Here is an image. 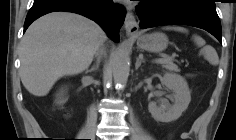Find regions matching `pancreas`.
<instances>
[{"mask_svg": "<svg viewBox=\"0 0 236 140\" xmlns=\"http://www.w3.org/2000/svg\"><path fill=\"white\" fill-rule=\"evenodd\" d=\"M161 64L165 69H167L169 71H174V72H179L180 71L178 66L176 64H174L172 61L161 62Z\"/></svg>", "mask_w": 236, "mask_h": 140, "instance_id": "cf45deb5", "label": "pancreas"}]
</instances>
